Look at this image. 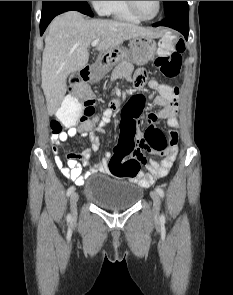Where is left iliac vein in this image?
Segmentation results:
<instances>
[{
  "label": "left iliac vein",
  "mask_w": 233,
  "mask_h": 295,
  "mask_svg": "<svg viewBox=\"0 0 233 295\" xmlns=\"http://www.w3.org/2000/svg\"><path fill=\"white\" fill-rule=\"evenodd\" d=\"M150 196L153 200V209H152L153 215L155 217H158L159 211H160V205H161L159 194L156 191H151Z\"/></svg>",
  "instance_id": "4c4485c4"
}]
</instances>
